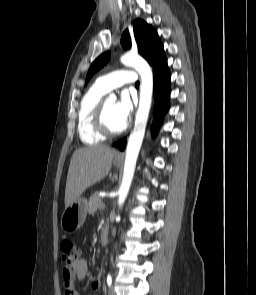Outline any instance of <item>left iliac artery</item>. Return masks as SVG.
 Instances as JSON below:
<instances>
[{
    "label": "left iliac artery",
    "mask_w": 256,
    "mask_h": 295,
    "mask_svg": "<svg viewBox=\"0 0 256 295\" xmlns=\"http://www.w3.org/2000/svg\"><path fill=\"white\" fill-rule=\"evenodd\" d=\"M107 284H108L109 287H110L111 284H112V276H111L110 273H108V275H107Z\"/></svg>",
    "instance_id": "obj_1"
}]
</instances>
